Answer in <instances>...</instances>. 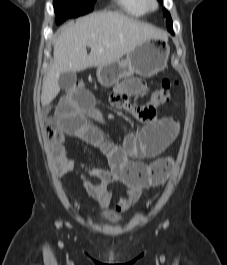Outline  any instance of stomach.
<instances>
[{"mask_svg": "<svg viewBox=\"0 0 227 265\" xmlns=\"http://www.w3.org/2000/svg\"><path fill=\"white\" fill-rule=\"evenodd\" d=\"M170 48L166 41L149 39L136 45L124 60L97 68L96 77L105 87L114 85V81L130 77L134 73L142 77H152L167 67Z\"/></svg>", "mask_w": 227, "mask_h": 265, "instance_id": "obj_1", "label": "stomach"}]
</instances>
